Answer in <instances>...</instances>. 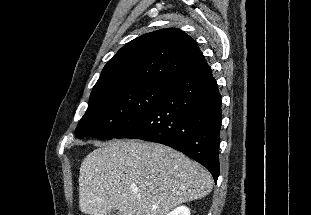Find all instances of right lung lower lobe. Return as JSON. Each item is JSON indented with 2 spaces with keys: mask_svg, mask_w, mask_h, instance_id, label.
I'll return each instance as SVG.
<instances>
[{
  "mask_svg": "<svg viewBox=\"0 0 311 215\" xmlns=\"http://www.w3.org/2000/svg\"><path fill=\"white\" fill-rule=\"evenodd\" d=\"M221 98L207 64L171 81L157 105L115 138L170 146L202 164L217 181Z\"/></svg>",
  "mask_w": 311,
  "mask_h": 215,
  "instance_id": "obj_1",
  "label": "right lung lower lobe"
}]
</instances>
